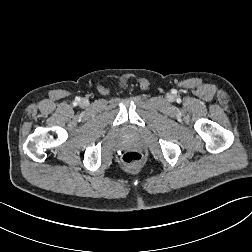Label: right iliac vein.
Instances as JSON below:
<instances>
[{
    "instance_id": "1",
    "label": "right iliac vein",
    "mask_w": 252,
    "mask_h": 252,
    "mask_svg": "<svg viewBox=\"0 0 252 252\" xmlns=\"http://www.w3.org/2000/svg\"><path fill=\"white\" fill-rule=\"evenodd\" d=\"M80 104H81V106L85 107L88 105V101L86 99H82Z\"/></svg>"
}]
</instances>
